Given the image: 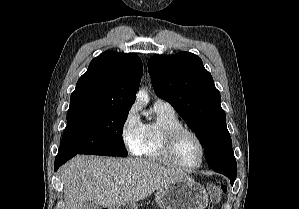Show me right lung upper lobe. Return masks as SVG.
Listing matches in <instances>:
<instances>
[{
  "instance_id": "right-lung-upper-lobe-1",
  "label": "right lung upper lobe",
  "mask_w": 299,
  "mask_h": 209,
  "mask_svg": "<svg viewBox=\"0 0 299 209\" xmlns=\"http://www.w3.org/2000/svg\"><path fill=\"white\" fill-rule=\"evenodd\" d=\"M143 73L134 53L106 51L94 58L71 94L70 107L103 106L129 109L135 101Z\"/></svg>"
}]
</instances>
